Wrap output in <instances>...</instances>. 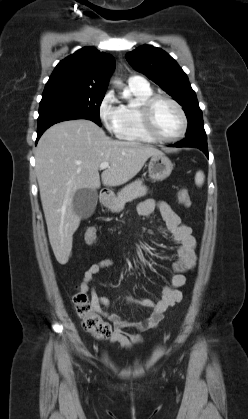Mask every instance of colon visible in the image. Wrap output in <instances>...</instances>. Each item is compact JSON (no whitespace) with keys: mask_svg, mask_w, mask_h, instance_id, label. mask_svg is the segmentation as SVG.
I'll use <instances>...</instances> for the list:
<instances>
[{"mask_svg":"<svg viewBox=\"0 0 248 419\" xmlns=\"http://www.w3.org/2000/svg\"><path fill=\"white\" fill-rule=\"evenodd\" d=\"M177 199L184 207L189 208L191 206V198L187 189H180L177 193ZM96 237L97 234L94 228H89L85 233L87 244H93ZM73 304L76 314L81 319L82 326L87 332L101 339H106L110 336L112 332L110 324L99 317L88 295L81 289H78L73 295Z\"/></svg>","mask_w":248,"mask_h":419,"instance_id":"5ec220e1","label":"colon"}]
</instances>
